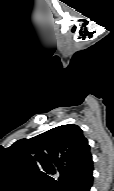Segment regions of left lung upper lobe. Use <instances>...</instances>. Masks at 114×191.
Instances as JSON below:
<instances>
[{"mask_svg": "<svg viewBox=\"0 0 114 191\" xmlns=\"http://www.w3.org/2000/svg\"><path fill=\"white\" fill-rule=\"evenodd\" d=\"M24 168L47 179L54 187L64 184L92 157L82 129L74 124L50 129L30 139L16 141L8 148ZM48 174H57L54 180Z\"/></svg>", "mask_w": 114, "mask_h": 191, "instance_id": "obj_1", "label": "left lung upper lobe"}]
</instances>
